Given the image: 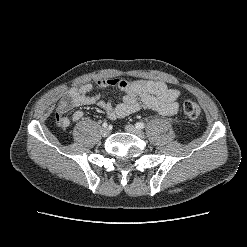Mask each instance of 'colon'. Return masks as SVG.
I'll return each mask as SVG.
<instances>
[{
    "label": "colon",
    "instance_id": "obj_1",
    "mask_svg": "<svg viewBox=\"0 0 247 247\" xmlns=\"http://www.w3.org/2000/svg\"><path fill=\"white\" fill-rule=\"evenodd\" d=\"M182 109L185 116L191 120L197 119L201 113L199 105L191 100H185Z\"/></svg>",
    "mask_w": 247,
    "mask_h": 247
}]
</instances>
